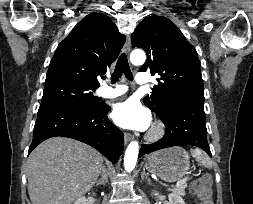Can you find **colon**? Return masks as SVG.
Segmentation results:
<instances>
[{
	"instance_id": "colon-1",
	"label": "colon",
	"mask_w": 253,
	"mask_h": 204,
	"mask_svg": "<svg viewBox=\"0 0 253 204\" xmlns=\"http://www.w3.org/2000/svg\"><path fill=\"white\" fill-rule=\"evenodd\" d=\"M191 192L199 200V204H214L211 191V178L203 175L191 183Z\"/></svg>"
}]
</instances>
